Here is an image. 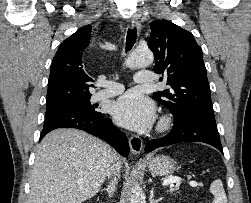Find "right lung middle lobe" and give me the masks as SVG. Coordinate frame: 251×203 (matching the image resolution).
<instances>
[{
	"mask_svg": "<svg viewBox=\"0 0 251 203\" xmlns=\"http://www.w3.org/2000/svg\"><path fill=\"white\" fill-rule=\"evenodd\" d=\"M69 111H78L89 113L97 116H103L101 112L95 109L94 105H91L90 98L85 99L82 101L66 104L63 106L53 107V108H46L45 117L61 113V112H69Z\"/></svg>",
	"mask_w": 251,
	"mask_h": 203,
	"instance_id": "obj_1",
	"label": "right lung middle lobe"
}]
</instances>
